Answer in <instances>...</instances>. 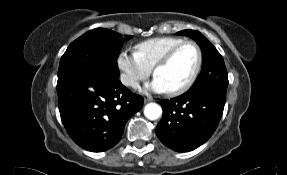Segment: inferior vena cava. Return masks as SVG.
<instances>
[{
    "label": "inferior vena cava",
    "mask_w": 287,
    "mask_h": 175,
    "mask_svg": "<svg viewBox=\"0 0 287 175\" xmlns=\"http://www.w3.org/2000/svg\"><path fill=\"white\" fill-rule=\"evenodd\" d=\"M121 81L124 85H128V86H136L137 85V81L135 79H133L132 77H129L127 75H123L121 77Z\"/></svg>",
    "instance_id": "obj_1"
}]
</instances>
